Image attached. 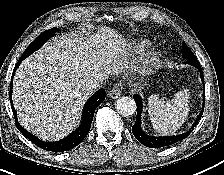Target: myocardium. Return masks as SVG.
I'll return each mask as SVG.
<instances>
[{
	"mask_svg": "<svg viewBox=\"0 0 224 175\" xmlns=\"http://www.w3.org/2000/svg\"><path fill=\"white\" fill-rule=\"evenodd\" d=\"M160 57H161L160 51L149 52L144 59V66L146 68L154 67L159 62Z\"/></svg>",
	"mask_w": 224,
	"mask_h": 175,
	"instance_id": "f54148a6",
	"label": "myocardium"
}]
</instances>
